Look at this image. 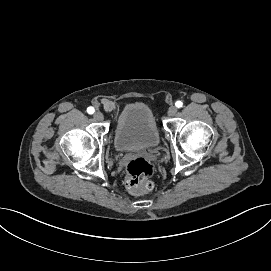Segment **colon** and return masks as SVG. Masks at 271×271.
Returning a JSON list of instances; mask_svg holds the SVG:
<instances>
[{
	"instance_id": "colon-1",
	"label": "colon",
	"mask_w": 271,
	"mask_h": 271,
	"mask_svg": "<svg viewBox=\"0 0 271 271\" xmlns=\"http://www.w3.org/2000/svg\"><path fill=\"white\" fill-rule=\"evenodd\" d=\"M154 166L145 158L131 159L126 166V187L132 194L149 192L153 188L150 180Z\"/></svg>"
}]
</instances>
